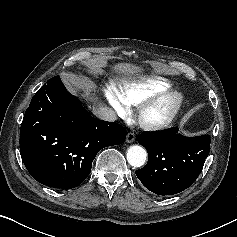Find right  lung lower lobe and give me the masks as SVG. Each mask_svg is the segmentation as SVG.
I'll return each mask as SVG.
<instances>
[{
    "label": "right lung lower lobe",
    "mask_w": 237,
    "mask_h": 237,
    "mask_svg": "<svg viewBox=\"0 0 237 237\" xmlns=\"http://www.w3.org/2000/svg\"><path fill=\"white\" fill-rule=\"evenodd\" d=\"M125 138L124 127L93 118L56 77L36 92L25 112L20 153L41 184L75 188L90 174L96 154Z\"/></svg>",
    "instance_id": "1"
}]
</instances>
